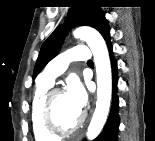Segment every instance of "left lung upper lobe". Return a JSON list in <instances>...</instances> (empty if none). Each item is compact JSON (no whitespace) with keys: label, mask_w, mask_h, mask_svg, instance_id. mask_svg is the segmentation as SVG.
<instances>
[{"label":"left lung upper lobe","mask_w":155,"mask_h":141,"mask_svg":"<svg viewBox=\"0 0 155 141\" xmlns=\"http://www.w3.org/2000/svg\"><path fill=\"white\" fill-rule=\"evenodd\" d=\"M77 23L95 28L104 39L110 35V28L100 4L96 0H80L69 11L64 27H57L43 43L34 67L33 78L56 56L68 29L67 25L71 26Z\"/></svg>","instance_id":"obj_1"}]
</instances>
